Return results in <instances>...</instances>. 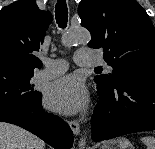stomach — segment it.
Listing matches in <instances>:
<instances>
[{
	"label": "stomach",
	"mask_w": 155,
	"mask_h": 149,
	"mask_svg": "<svg viewBox=\"0 0 155 149\" xmlns=\"http://www.w3.org/2000/svg\"><path fill=\"white\" fill-rule=\"evenodd\" d=\"M101 149H134V147L128 139L119 137L105 142Z\"/></svg>",
	"instance_id": "obj_1"
}]
</instances>
